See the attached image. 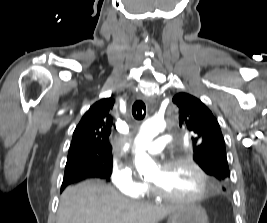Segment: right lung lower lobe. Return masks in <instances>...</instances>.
Returning <instances> with one entry per match:
<instances>
[{
  "instance_id": "98d812e1",
  "label": "right lung lower lobe",
  "mask_w": 267,
  "mask_h": 223,
  "mask_svg": "<svg viewBox=\"0 0 267 223\" xmlns=\"http://www.w3.org/2000/svg\"><path fill=\"white\" fill-rule=\"evenodd\" d=\"M86 178H102L99 173L88 170H74L66 172L61 187V191L69 184L86 179ZM103 179V178H102Z\"/></svg>"
}]
</instances>
